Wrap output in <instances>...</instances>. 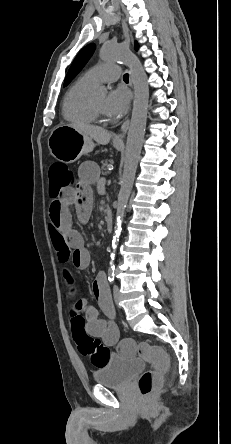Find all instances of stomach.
I'll return each mask as SVG.
<instances>
[{
  "mask_svg": "<svg viewBox=\"0 0 231 444\" xmlns=\"http://www.w3.org/2000/svg\"><path fill=\"white\" fill-rule=\"evenodd\" d=\"M51 154L59 161L72 163L83 154H87L95 147L94 142L88 136L76 129L60 125L54 128L48 140ZM117 150H121L122 144H115Z\"/></svg>",
  "mask_w": 231,
  "mask_h": 444,
  "instance_id": "stomach-1",
  "label": "stomach"
}]
</instances>
